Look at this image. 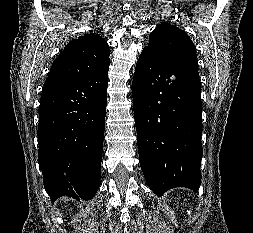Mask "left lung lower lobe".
<instances>
[{
  "label": "left lung lower lobe",
  "mask_w": 253,
  "mask_h": 233,
  "mask_svg": "<svg viewBox=\"0 0 253 233\" xmlns=\"http://www.w3.org/2000/svg\"><path fill=\"white\" fill-rule=\"evenodd\" d=\"M198 68L143 49L132 83L139 162L157 196L201 183L202 103Z\"/></svg>",
  "instance_id": "obj_1"
}]
</instances>
